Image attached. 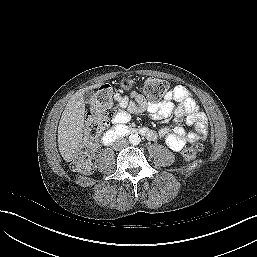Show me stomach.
Segmentation results:
<instances>
[{"label":"stomach","instance_id":"0dacf381","mask_svg":"<svg viewBox=\"0 0 257 257\" xmlns=\"http://www.w3.org/2000/svg\"><path fill=\"white\" fill-rule=\"evenodd\" d=\"M135 82L134 79L128 77V78H124L121 82V87L124 90H130L133 86H134Z\"/></svg>","mask_w":257,"mask_h":257}]
</instances>
